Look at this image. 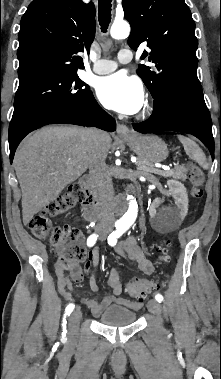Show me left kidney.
I'll return each instance as SVG.
<instances>
[{"mask_svg":"<svg viewBox=\"0 0 221 379\" xmlns=\"http://www.w3.org/2000/svg\"><path fill=\"white\" fill-rule=\"evenodd\" d=\"M167 185L175 199L176 206L163 207L158 210L161 201L155 199L149 209L152 223L159 230H171L178 227L188 212V195L185 186L175 180H169Z\"/></svg>","mask_w":221,"mask_h":379,"instance_id":"5707ae66","label":"left kidney"}]
</instances>
